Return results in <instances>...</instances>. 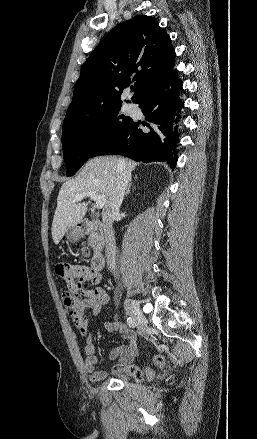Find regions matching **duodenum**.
<instances>
[{"label": "duodenum", "mask_w": 257, "mask_h": 439, "mask_svg": "<svg viewBox=\"0 0 257 439\" xmlns=\"http://www.w3.org/2000/svg\"><path fill=\"white\" fill-rule=\"evenodd\" d=\"M78 232L80 236L90 235L91 243L95 250L91 259V267L95 271H101L105 263L102 254L105 244L104 225L98 220H83L78 224Z\"/></svg>", "instance_id": "410a0bca"}]
</instances>
